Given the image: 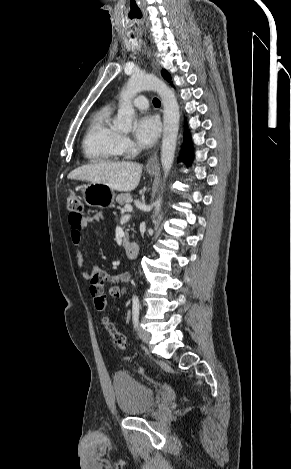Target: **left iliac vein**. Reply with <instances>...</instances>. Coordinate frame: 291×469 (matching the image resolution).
Here are the masks:
<instances>
[{"mask_svg": "<svg viewBox=\"0 0 291 469\" xmlns=\"http://www.w3.org/2000/svg\"><path fill=\"white\" fill-rule=\"evenodd\" d=\"M137 332H138V335L140 337V339L144 342V343H148L150 341V334L143 328H141L140 326L137 327Z\"/></svg>", "mask_w": 291, "mask_h": 469, "instance_id": "1", "label": "left iliac vein"}]
</instances>
